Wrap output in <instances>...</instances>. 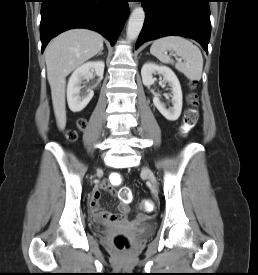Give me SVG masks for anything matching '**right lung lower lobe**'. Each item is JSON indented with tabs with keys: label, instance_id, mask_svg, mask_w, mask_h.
<instances>
[{
	"label": "right lung lower lobe",
	"instance_id": "98d812e1",
	"mask_svg": "<svg viewBox=\"0 0 258 275\" xmlns=\"http://www.w3.org/2000/svg\"><path fill=\"white\" fill-rule=\"evenodd\" d=\"M128 14V0H42V52L53 37L72 28L97 31L114 45Z\"/></svg>",
	"mask_w": 258,
	"mask_h": 275
}]
</instances>
